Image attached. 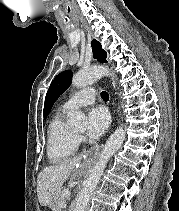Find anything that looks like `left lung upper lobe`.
<instances>
[{
    "label": "left lung upper lobe",
    "instance_id": "1",
    "mask_svg": "<svg viewBox=\"0 0 179 211\" xmlns=\"http://www.w3.org/2000/svg\"><path fill=\"white\" fill-rule=\"evenodd\" d=\"M92 51L94 58L97 59L100 63L107 62V54L101 48L100 43L96 40L92 41ZM71 79L72 72L70 70H66L58 74L54 78L45 97V105L43 111L44 118H46L51 107L53 106L54 102L58 99V97L70 86Z\"/></svg>",
    "mask_w": 179,
    "mask_h": 211
}]
</instances>
